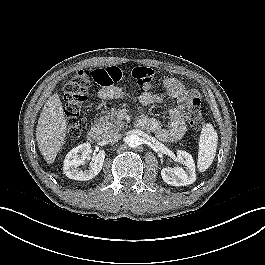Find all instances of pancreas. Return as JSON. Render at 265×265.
Returning <instances> with one entry per match:
<instances>
[{"instance_id":"obj_1","label":"pancreas","mask_w":265,"mask_h":265,"mask_svg":"<svg viewBox=\"0 0 265 265\" xmlns=\"http://www.w3.org/2000/svg\"><path fill=\"white\" fill-rule=\"evenodd\" d=\"M96 127L101 131V134L106 137L111 133H118L122 130L124 122L117 117V110L112 109L110 112H107L106 115L98 119Z\"/></svg>"}]
</instances>
